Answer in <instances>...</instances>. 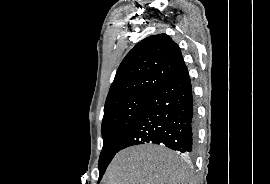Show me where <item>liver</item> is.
<instances>
[{
	"mask_svg": "<svg viewBox=\"0 0 270 184\" xmlns=\"http://www.w3.org/2000/svg\"><path fill=\"white\" fill-rule=\"evenodd\" d=\"M189 172L172 153L153 144L137 145L116 154L105 173V184H188Z\"/></svg>",
	"mask_w": 270,
	"mask_h": 184,
	"instance_id": "6515ba94",
	"label": "liver"
}]
</instances>
